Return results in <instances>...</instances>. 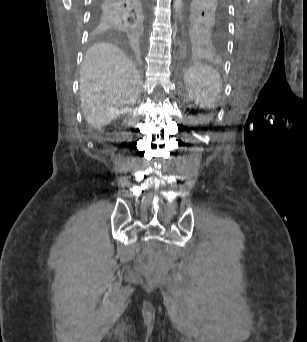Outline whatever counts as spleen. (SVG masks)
I'll use <instances>...</instances> for the list:
<instances>
[{"label":"spleen","mask_w":307,"mask_h":342,"mask_svg":"<svg viewBox=\"0 0 307 342\" xmlns=\"http://www.w3.org/2000/svg\"><path fill=\"white\" fill-rule=\"evenodd\" d=\"M184 83L199 108H215L221 96L222 80L212 66L193 65L185 71Z\"/></svg>","instance_id":"spleen-1"}]
</instances>
